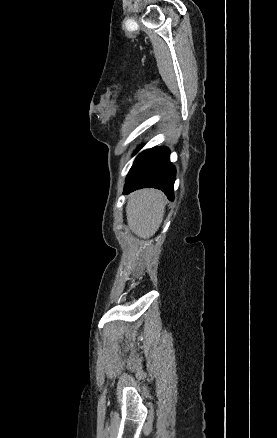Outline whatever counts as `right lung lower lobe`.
<instances>
[{
    "label": "right lung lower lobe",
    "instance_id": "1",
    "mask_svg": "<svg viewBox=\"0 0 277 438\" xmlns=\"http://www.w3.org/2000/svg\"><path fill=\"white\" fill-rule=\"evenodd\" d=\"M170 151L166 147L146 150L132 166L124 187V194L141 188L162 190L169 200L174 199L173 186L176 170L170 163Z\"/></svg>",
    "mask_w": 277,
    "mask_h": 438
}]
</instances>
